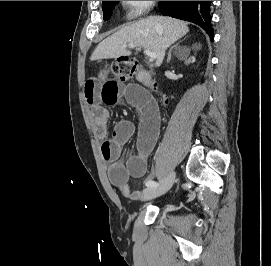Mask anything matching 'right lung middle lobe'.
I'll return each instance as SVG.
<instances>
[{
	"label": "right lung middle lobe",
	"mask_w": 271,
	"mask_h": 266,
	"mask_svg": "<svg viewBox=\"0 0 271 266\" xmlns=\"http://www.w3.org/2000/svg\"><path fill=\"white\" fill-rule=\"evenodd\" d=\"M118 1H103L102 10L104 13V20H108L110 18L111 12Z\"/></svg>",
	"instance_id": "obj_1"
}]
</instances>
